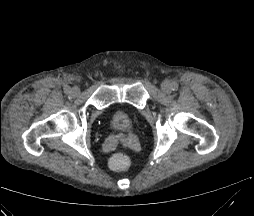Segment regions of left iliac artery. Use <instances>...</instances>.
Masks as SVG:
<instances>
[{
    "label": "left iliac artery",
    "instance_id": "obj_1",
    "mask_svg": "<svg viewBox=\"0 0 254 216\" xmlns=\"http://www.w3.org/2000/svg\"><path fill=\"white\" fill-rule=\"evenodd\" d=\"M171 89H172L173 91L177 90V89H178V84H177L176 82H173V83L171 84Z\"/></svg>",
    "mask_w": 254,
    "mask_h": 216
}]
</instances>
